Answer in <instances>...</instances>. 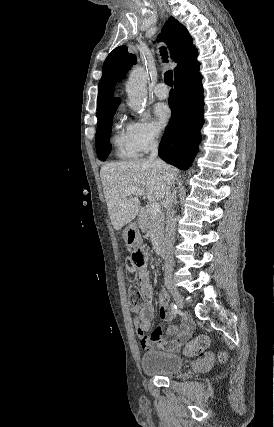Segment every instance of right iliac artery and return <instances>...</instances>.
Here are the masks:
<instances>
[{
    "label": "right iliac artery",
    "instance_id": "obj_1",
    "mask_svg": "<svg viewBox=\"0 0 274 427\" xmlns=\"http://www.w3.org/2000/svg\"><path fill=\"white\" fill-rule=\"evenodd\" d=\"M171 312H172L173 317H176L178 310H177V306L173 303L171 304Z\"/></svg>",
    "mask_w": 274,
    "mask_h": 427
}]
</instances>
